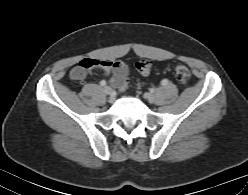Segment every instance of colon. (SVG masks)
I'll list each match as a JSON object with an SVG mask.
<instances>
[{
  "label": "colon",
  "mask_w": 248,
  "mask_h": 195,
  "mask_svg": "<svg viewBox=\"0 0 248 195\" xmlns=\"http://www.w3.org/2000/svg\"><path fill=\"white\" fill-rule=\"evenodd\" d=\"M94 63L91 59L82 60L78 63L70 72V77L74 80H80L85 77V75L94 68ZM152 63L149 60H140L136 67L141 75H148L151 71ZM175 78L181 84H187L191 78V73L189 68L183 64L178 63L174 69ZM128 87V78L124 77L118 82V89L125 90Z\"/></svg>",
  "instance_id": "colon-1"
}]
</instances>
